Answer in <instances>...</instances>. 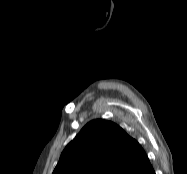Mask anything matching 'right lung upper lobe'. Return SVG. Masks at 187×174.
Masks as SVG:
<instances>
[{
    "mask_svg": "<svg viewBox=\"0 0 187 174\" xmlns=\"http://www.w3.org/2000/svg\"><path fill=\"white\" fill-rule=\"evenodd\" d=\"M53 174H155L139 145L117 124L89 122L60 156Z\"/></svg>",
    "mask_w": 187,
    "mask_h": 174,
    "instance_id": "right-lung-upper-lobe-1",
    "label": "right lung upper lobe"
}]
</instances>
